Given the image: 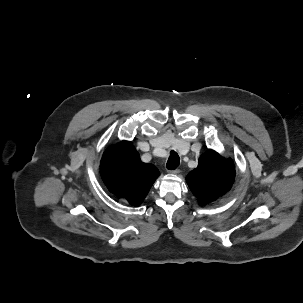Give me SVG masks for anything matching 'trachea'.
Segmentation results:
<instances>
[{
  "label": "trachea",
  "instance_id": "3493384b",
  "mask_svg": "<svg viewBox=\"0 0 303 303\" xmlns=\"http://www.w3.org/2000/svg\"><path fill=\"white\" fill-rule=\"evenodd\" d=\"M180 163V158L175 151H171L170 157L167 161V169L168 170H175Z\"/></svg>",
  "mask_w": 303,
  "mask_h": 303
}]
</instances>
